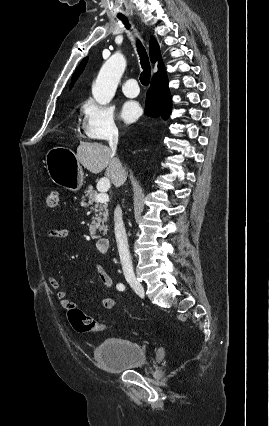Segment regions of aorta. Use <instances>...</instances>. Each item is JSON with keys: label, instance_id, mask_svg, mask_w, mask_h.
Masks as SVG:
<instances>
[{"label": "aorta", "instance_id": "1", "mask_svg": "<svg viewBox=\"0 0 269 426\" xmlns=\"http://www.w3.org/2000/svg\"><path fill=\"white\" fill-rule=\"evenodd\" d=\"M125 68L126 60L121 54H114L102 66L92 86L93 97L99 104L105 105L112 100Z\"/></svg>", "mask_w": 269, "mask_h": 426}]
</instances>
